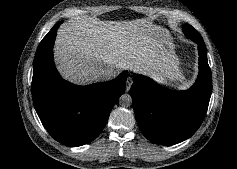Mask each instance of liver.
<instances>
[{"label": "liver", "instance_id": "1", "mask_svg": "<svg viewBox=\"0 0 237 169\" xmlns=\"http://www.w3.org/2000/svg\"><path fill=\"white\" fill-rule=\"evenodd\" d=\"M163 34L147 24L130 28L118 22L77 19L62 27L56 41V58L65 78L76 84L102 81L107 68L119 71H155Z\"/></svg>", "mask_w": 237, "mask_h": 169}]
</instances>
